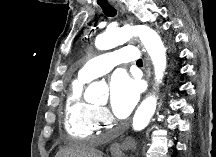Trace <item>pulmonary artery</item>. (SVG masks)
Wrapping results in <instances>:
<instances>
[{
	"mask_svg": "<svg viewBox=\"0 0 216 157\" xmlns=\"http://www.w3.org/2000/svg\"><path fill=\"white\" fill-rule=\"evenodd\" d=\"M140 54L134 46H125L110 53L96 56L86 62L78 72V76L86 81L111 71L117 65L138 60Z\"/></svg>",
	"mask_w": 216,
	"mask_h": 157,
	"instance_id": "obj_1",
	"label": "pulmonary artery"
}]
</instances>
